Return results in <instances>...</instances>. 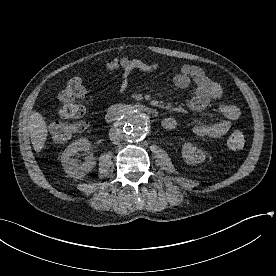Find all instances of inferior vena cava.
Returning a JSON list of instances; mask_svg holds the SVG:
<instances>
[{
	"mask_svg": "<svg viewBox=\"0 0 276 276\" xmlns=\"http://www.w3.org/2000/svg\"><path fill=\"white\" fill-rule=\"evenodd\" d=\"M109 137H110V140L113 142V143H118L119 140H120V137H121V134L119 131L115 130V129H111L110 130V133H109Z\"/></svg>",
	"mask_w": 276,
	"mask_h": 276,
	"instance_id": "obj_1",
	"label": "inferior vena cava"
}]
</instances>
